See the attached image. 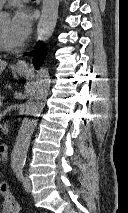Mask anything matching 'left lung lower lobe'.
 <instances>
[{"label": "left lung lower lobe", "instance_id": "0a47b994", "mask_svg": "<svg viewBox=\"0 0 128 213\" xmlns=\"http://www.w3.org/2000/svg\"><path fill=\"white\" fill-rule=\"evenodd\" d=\"M26 55H28V53H26ZM33 56L36 66H40L43 62V58L45 57V46L43 43H39L36 45Z\"/></svg>", "mask_w": 128, "mask_h": 213}]
</instances>
